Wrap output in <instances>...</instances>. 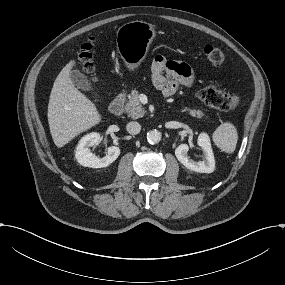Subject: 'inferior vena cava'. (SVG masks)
Masks as SVG:
<instances>
[{
	"label": "inferior vena cava",
	"instance_id": "602c4592",
	"mask_svg": "<svg viewBox=\"0 0 285 285\" xmlns=\"http://www.w3.org/2000/svg\"><path fill=\"white\" fill-rule=\"evenodd\" d=\"M126 129L130 134H138L141 130V126L138 122L132 121L127 123Z\"/></svg>",
	"mask_w": 285,
	"mask_h": 285
}]
</instances>
